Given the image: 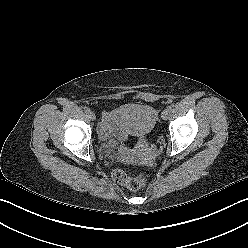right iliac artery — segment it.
Listing matches in <instances>:
<instances>
[{
    "instance_id": "right-iliac-artery-1",
    "label": "right iliac artery",
    "mask_w": 248,
    "mask_h": 248,
    "mask_svg": "<svg viewBox=\"0 0 248 248\" xmlns=\"http://www.w3.org/2000/svg\"><path fill=\"white\" fill-rule=\"evenodd\" d=\"M90 112H91V110H90L89 108H86V109H85V113H86V114H89Z\"/></svg>"
}]
</instances>
